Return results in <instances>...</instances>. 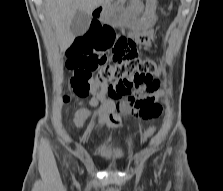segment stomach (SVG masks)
<instances>
[{"label": "stomach", "instance_id": "0dacf381", "mask_svg": "<svg viewBox=\"0 0 223 191\" xmlns=\"http://www.w3.org/2000/svg\"><path fill=\"white\" fill-rule=\"evenodd\" d=\"M121 5L116 8L104 7L99 14V19L107 24L127 28L133 31L145 30L155 22L157 0H146L145 10L141 18L135 17L129 7H125L126 0H120ZM137 0H130L133 4Z\"/></svg>", "mask_w": 223, "mask_h": 191}]
</instances>
